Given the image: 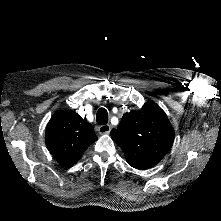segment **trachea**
Masks as SVG:
<instances>
[{"label": "trachea", "instance_id": "3493384b", "mask_svg": "<svg viewBox=\"0 0 221 221\" xmlns=\"http://www.w3.org/2000/svg\"><path fill=\"white\" fill-rule=\"evenodd\" d=\"M96 121L100 125H105L108 123V112L105 108H100L96 114Z\"/></svg>", "mask_w": 221, "mask_h": 221}]
</instances>
